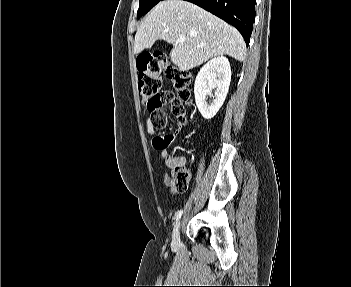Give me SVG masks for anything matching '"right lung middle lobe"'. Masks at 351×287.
I'll list each match as a JSON object with an SVG mask.
<instances>
[{"label": "right lung middle lobe", "mask_w": 351, "mask_h": 287, "mask_svg": "<svg viewBox=\"0 0 351 287\" xmlns=\"http://www.w3.org/2000/svg\"><path fill=\"white\" fill-rule=\"evenodd\" d=\"M161 0H139V9L137 11V17H141L148 13L157 3Z\"/></svg>", "instance_id": "obj_1"}]
</instances>
